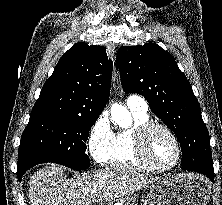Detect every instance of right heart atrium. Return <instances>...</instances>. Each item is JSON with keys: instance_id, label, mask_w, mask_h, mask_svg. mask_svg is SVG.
<instances>
[{"instance_id": "d8ad5b80", "label": "right heart atrium", "mask_w": 222, "mask_h": 205, "mask_svg": "<svg viewBox=\"0 0 222 205\" xmlns=\"http://www.w3.org/2000/svg\"><path fill=\"white\" fill-rule=\"evenodd\" d=\"M112 140L113 132L109 121L105 116H100L90 129L88 138L89 150L95 161L106 160Z\"/></svg>"}]
</instances>
